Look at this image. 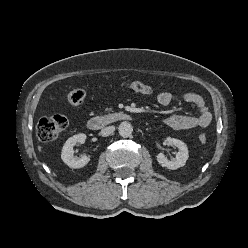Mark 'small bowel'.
<instances>
[{"instance_id": "obj_1", "label": "small bowel", "mask_w": 248, "mask_h": 248, "mask_svg": "<svg viewBox=\"0 0 248 248\" xmlns=\"http://www.w3.org/2000/svg\"><path fill=\"white\" fill-rule=\"evenodd\" d=\"M183 100L198 109L196 116L171 115L164 119V124L175 131H187L195 128H206L210 125L212 114L202 96L188 92L183 94ZM173 100L171 92L162 91L157 95V101L162 106L169 105Z\"/></svg>"}]
</instances>
